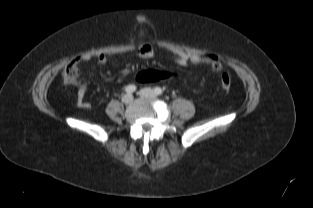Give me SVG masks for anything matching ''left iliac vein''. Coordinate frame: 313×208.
I'll list each match as a JSON object with an SVG mask.
<instances>
[{
  "mask_svg": "<svg viewBox=\"0 0 313 208\" xmlns=\"http://www.w3.org/2000/svg\"><path fill=\"white\" fill-rule=\"evenodd\" d=\"M139 95L141 97H145V98H156V94L154 93V91L150 88H144V89H141L139 91Z\"/></svg>",
  "mask_w": 313,
  "mask_h": 208,
  "instance_id": "left-iliac-vein-1",
  "label": "left iliac vein"
}]
</instances>
